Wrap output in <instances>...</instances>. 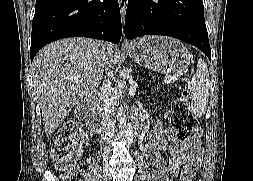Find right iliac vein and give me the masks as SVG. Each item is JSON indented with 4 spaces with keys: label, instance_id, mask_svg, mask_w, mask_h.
<instances>
[{
    "label": "right iliac vein",
    "instance_id": "63e3f726",
    "mask_svg": "<svg viewBox=\"0 0 253 181\" xmlns=\"http://www.w3.org/2000/svg\"><path fill=\"white\" fill-rule=\"evenodd\" d=\"M102 181H111V178H110L108 172H106V173L104 174V176H103V178H102Z\"/></svg>",
    "mask_w": 253,
    "mask_h": 181
}]
</instances>
